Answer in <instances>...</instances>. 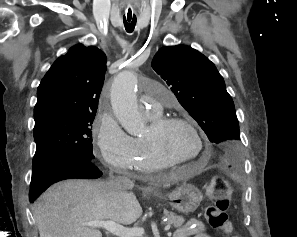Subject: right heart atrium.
<instances>
[{
    "mask_svg": "<svg viewBox=\"0 0 297 237\" xmlns=\"http://www.w3.org/2000/svg\"><path fill=\"white\" fill-rule=\"evenodd\" d=\"M96 147L101 159L114 170L133 169V138L124 132L109 111H103L96 123Z\"/></svg>",
    "mask_w": 297,
    "mask_h": 237,
    "instance_id": "obj_1",
    "label": "right heart atrium"
}]
</instances>
